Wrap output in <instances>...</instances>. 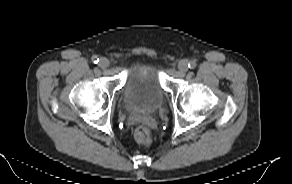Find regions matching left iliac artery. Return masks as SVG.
Returning <instances> with one entry per match:
<instances>
[{
	"instance_id": "1",
	"label": "left iliac artery",
	"mask_w": 292,
	"mask_h": 184,
	"mask_svg": "<svg viewBox=\"0 0 292 184\" xmlns=\"http://www.w3.org/2000/svg\"><path fill=\"white\" fill-rule=\"evenodd\" d=\"M196 62L195 61H190L189 63H188V67L190 68V69H194L195 67H196Z\"/></svg>"
}]
</instances>
